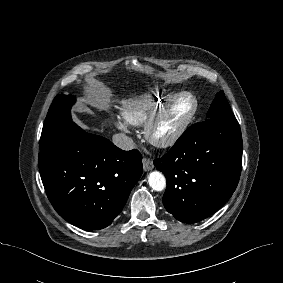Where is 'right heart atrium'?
<instances>
[{"label": "right heart atrium", "mask_w": 283, "mask_h": 283, "mask_svg": "<svg viewBox=\"0 0 283 283\" xmlns=\"http://www.w3.org/2000/svg\"><path fill=\"white\" fill-rule=\"evenodd\" d=\"M115 124L118 128H120L122 130H128V128H129L128 123L125 120L120 119V118L115 120Z\"/></svg>", "instance_id": "1"}]
</instances>
